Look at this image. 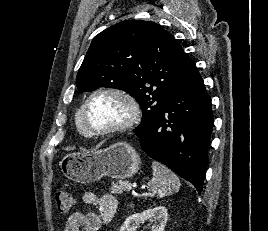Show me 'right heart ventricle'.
<instances>
[{"instance_id": "obj_1", "label": "right heart ventricle", "mask_w": 268, "mask_h": 231, "mask_svg": "<svg viewBox=\"0 0 268 231\" xmlns=\"http://www.w3.org/2000/svg\"><path fill=\"white\" fill-rule=\"evenodd\" d=\"M75 124H76V127H77V130L83 134V135H87L86 134V129L83 125V122H82V116H81V108H79L75 114Z\"/></svg>"}]
</instances>
